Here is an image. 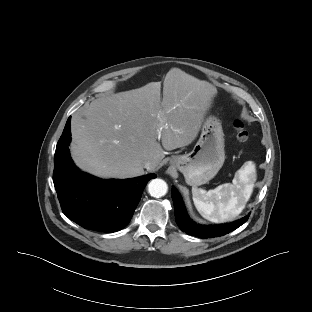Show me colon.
<instances>
[{
  "instance_id": "obj_1",
  "label": "colon",
  "mask_w": 312,
  "mask_h": 312,
  "mask_svg": "<svg viewBox=\"0 0 312 312\" xmlns=\"http://www.w3.org/2000/svg\"><path fill=\"white\" fill-rule=\"evenodd\" d=\"M234 130H235V135L236 139L240 143H247L249 140V133L244 125V123L240 120H236L234 122Z\"/></svg>"
}]
</instances>
